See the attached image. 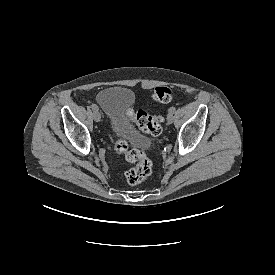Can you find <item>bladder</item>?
Listing matches in <instances>:
<instances>
[{
	"mask_svg": "<svg viewBox=\"0 0 275 275\" xmlns=\"http://www.w3.org/2000/svg\"><path fill=\"white\" fill-rule=\"evenodd\" d=\"M134 93L123 86H111L97 95V106L106 114L109 127L115 137H121L131 146L146 150L151 146L150 139L131 129L129 118L125 113L132 103Z\"/></svg>",
	"mask_w": 275,
	"mask_h": 275,
	"instance_id": "obj_1",
	"label": "bladder"
}]
</instances>
